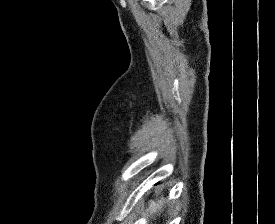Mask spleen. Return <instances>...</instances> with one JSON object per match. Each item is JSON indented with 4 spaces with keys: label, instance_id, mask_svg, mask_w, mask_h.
Masks as SVG:
<instances>
[{
    "label": "spleen",
    "instance_id": "obj_1",
    "mask_svg": "<svg viewBox=\"0 0 275 224\" xmlns=\"http://www.w3.org/2000/svg\"><path fill=\"white\" fill-rule=\"evenodd\" d=\"M159 203L161 204V201H159ZM157 209H160V205H158L157 203L151 201V203L149 205V210L150 211H156Z\"/></svg>",
    "mask_w": 275,
    "mask_h": 224
}]
</instances>
